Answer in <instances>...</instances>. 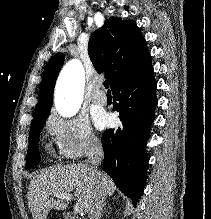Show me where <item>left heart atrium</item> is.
<instances>
[{
    "mask_svg": "<svg viewBox=\"0 0 211 219\" xmlns=\"http://www.w3.org/2000/svg\"><path fill=\"white\" fill-rule=\"evenodd\" d=\"M95 121H96V125L99 128H102L108 123V118H107V116L102 114V115H99Z\"/></svg>",
    "mask_w": 211,
    "mask_h": 219,
    "instance_id": "left-heart-atrium-1",
    "label": "left heart atrium"
}]
</instances>
